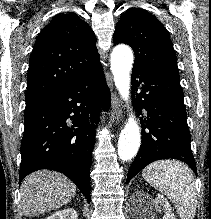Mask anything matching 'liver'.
<instances>
[{
    "label": "liver",
    "instance_id": "6515ba94",
    "mask_svg": "<svg viewBox=\"0 0 211 219\" xmlns=\"http://www.w3.org/2000/svg\"><path fill=\"white\" fill-rule=\"evenodd\" d=\"M75 184L61 173L40 170L27 176L21 185V208L25 216L58 209L71 201Z\"/></svg>",
    "mask_w": 211,
    "mask_h": 219
}]
</instances>
